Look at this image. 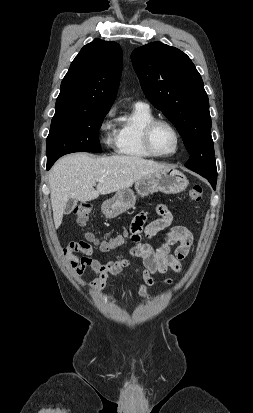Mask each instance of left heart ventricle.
Returning a JSON list of instances; mask_svg holds the SVG:
<instances>
[{"instance_id":"left-heart-ventricle-1","label":"left heart ventricle","mask_w":253,"mask_h":413,"mask_svg":"<svg viewBox=\"0 0 253 413\" xmlns=\"http://www.w3.org/2000/svg\"><path fill=\"white\" fill-rule=\"evenodd\" d=\"M155 150L161 154H170L176 148V137L166 125H158L152 135Z\"/></svg>"}]
</instances>
